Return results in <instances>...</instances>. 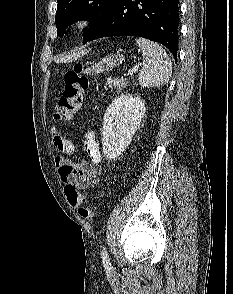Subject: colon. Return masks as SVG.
I'll return each mask as SVG.
<instances>
[{"mask_svg":"<svg viewBox=\"0 0 233 294\" xmlns=\"http://www.w3.org/2000/svg\"><path fill=\"white\" fill-rule=\"evenodd\" d=\"M64 89L60 96L55 117L57 119L71 120L78 113L83 99V94L88 87V78L82 74L81 64H76L72 70L66 72L64 76ZM65 194L69 203L78 208L80 216L91 220L95 216V211L84 207L85 196L72 186L65 187Z\"/></svg>","mask_w":233,"mask_h":294,"instance_id":"1","label":"colon"}]
</instances>
